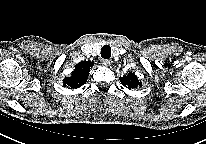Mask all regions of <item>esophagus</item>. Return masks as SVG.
Returning <instances> with one entry per match:
<instances>
[{
	"label": "esophagus",
	"mask_w": 206,
	"mask_h": 144,
	"mask_svg": "<svg viewBox=\"0 0 206 144\" xmlns=\"http://www.w3.org/2000/svg\"><path fill=\"white\" fill-rule=\"evenodd\" d=\"M111 63H112V61L109 60V59H103V60H102V64H103L104 66H110Z\"/></svg>",
	"instance_id": "esophagus-1"
}]
</instances>
